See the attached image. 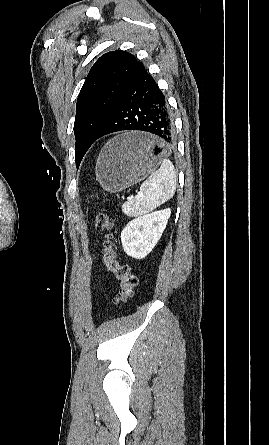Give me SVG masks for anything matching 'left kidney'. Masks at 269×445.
I'll use <instances>...</instances> for the list:
<instances>
[{"label":"left kidney","instance_id":"obj_1","mask_svg":"<svg viewBox=\"0 0 269 445\" xmlns=\"http://www.w3.org/2000/svg\"><path fill=\"white\" fill-rule=\"evenodd\" d=\"M170 215L168 208L131 220L121 232L125 253L136 259L145 258L162 236Z\"/></svg>","mask_w":269,"mask_h":445}]
</instances>
